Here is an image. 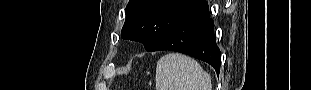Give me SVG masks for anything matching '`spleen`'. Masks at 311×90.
<instances>
[{
	"mask_svg": "<svg viewBox=\"0 0 311 90\" xmlns=\"http://www.w3.org/2000/svg\"><path fill=\"white\" fill-rule=\"evenodd\" d=\"M155 80L156 90H211V79L200 64L179 53L159 59Z\"/></svg>",
	"mask_w": 311,
	"mask_h": 90,
	"instance_id": "spleen-1",
	"label": "spleen"
}]
</instances>
